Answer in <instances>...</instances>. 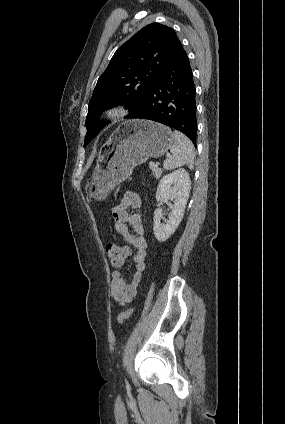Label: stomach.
Masks as SVG:
<instances>
[{
    "label": "stomach",
    "instance_id": "stomach-1",
    "mask_svg": "<svg viewBox=\"0 0 285 424\" xmlns=\"http://www.w3.org/2000/svg\"><path fill=\"white\" fill-rule=\"evenodd\" d=\"M172 131L160 123L131 120L122 123L103 145L86 191L90 199L103 200L133 169L149 158L164 155L173 145Z\"/></svg>",
    "mask_w": 285,
    "mask_h": 424
}]
</instances>
